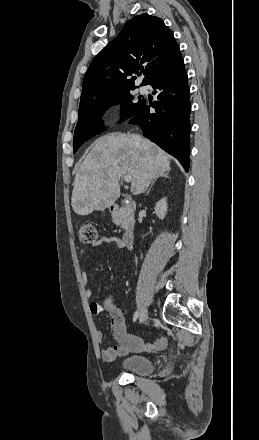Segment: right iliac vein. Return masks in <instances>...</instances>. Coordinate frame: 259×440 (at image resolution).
<instances>
[{"instance_id": "63e3f726", "label": "right iliac vein", "mask_w": 259, "mask_h": 440, "mask_svg": "<svg viewBox=\"0 0 259 440\" xmlns=\"http://www.w3.org/2000/svg\"><path fill=\"white\" fill-rule=\"evenodd\" d=\"M147 318H148V310L144 308L140 313L139 322L144 323L147 320Z\"/></svg>"}]
</instances>
